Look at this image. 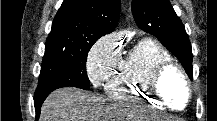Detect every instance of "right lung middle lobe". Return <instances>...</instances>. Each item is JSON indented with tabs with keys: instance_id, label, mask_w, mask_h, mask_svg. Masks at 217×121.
<instances>
[{
	"instance_id": "right-lung-middle-lobe-1",
	"label": "right lung middle lobe",
	"mask_w": 217,
	"mask_h": 121,
	"mask_svg": "<svg viewBox=\"0 0 217 121\" xmlns=\"http://www.w3.org/2000/svg\"><path fill=\"white\" fill-rule=\"evenodd\" d=\"M96 41L47 39L35 98L67 86L88 90L86 59Z\"/></svg>"
}]
</instances>
